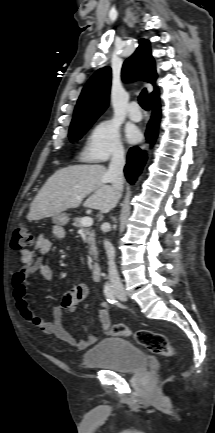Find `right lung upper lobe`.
<instances>
[{"label":"right lung upper lobe","mask_w":215,"mask_h":433,"mask_svg":"<svg viewBox=\"0 0 215 433\" xmlns=\"http://www.w3.org/2000/svg\"><path fill=\"white\" fill-rule=\"evenodd\" d=\"M157 74L148 40L140 39L139 46L123 64L122 78L125 81L142 80L155 84ZM111 86V69L97 70L89 79L78 99L71 124L96 120L107 108ZM158 94V89L150 98Z\"/></svg>","instance_id":"1"}]
</instances>
